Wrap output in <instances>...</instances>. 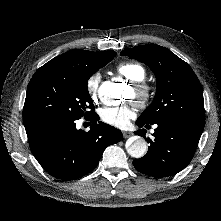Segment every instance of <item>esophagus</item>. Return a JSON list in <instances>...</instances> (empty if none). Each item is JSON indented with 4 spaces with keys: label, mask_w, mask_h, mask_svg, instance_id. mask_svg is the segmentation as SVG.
I'll list each match as a JSON object with an SVG mask.
<instances>
[{
    "label": "esophagus",
    "mask_w": 221,
    "mask_h": 221,
    "mask_svg": "<svg viewBox=\"0 0 221 221\" xmlns=\"http://www.w3.org/2000/svg\"><path fill=\"white\" fill-rule=\"evenodd\" d=\"M131 135H132V133L129 132V131H124V132H123V137H124V138H128V137H130Z\"/></svg>",
    "instance_id": "obj_1"
}]
</instances>
